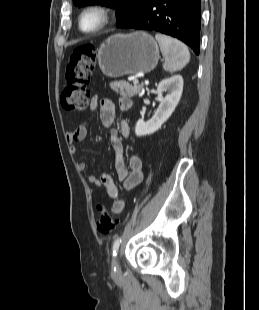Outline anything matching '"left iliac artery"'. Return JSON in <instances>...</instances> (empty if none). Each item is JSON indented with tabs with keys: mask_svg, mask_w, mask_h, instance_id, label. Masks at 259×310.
Listing matches in <instances>:
<instances>
[{
	"mask_svg": "<svg viewBox=\"0 0 259 310\" xmlns=\"http://www.w3.org/2000/svg\"><path fill=\"white\" fill-rule=\"evenodd\" d=\"M122 242V239L121 238H117L114 243H113V248H112V255L113 257H115L117 255V251L119 249V246Z\"/></svg>",
	"mask_w": 259,
	"mask_h": 310,
	"instance_id": "obj_1",
	"label": "left iliac artery"
}]
</instances>
